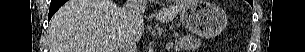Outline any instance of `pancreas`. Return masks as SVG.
<instances>
[{
    "mask_svg": "<svg viewBox=\"0 0 305 52\" xmlns=\"http://www.w3.org/2000/svg\"><path fill=\"white\" fill-rule=\"evenodd\" d=\"M201 45V40L194 35H182L175 41V48L180 51L182 49L192 50L197 49Z\"/></svg>",
    "mask_w": 305,
    "mask_h": 52,
    "instance_id": "pancreas-1",
    "label": "pancreas"
}]
</instances>
